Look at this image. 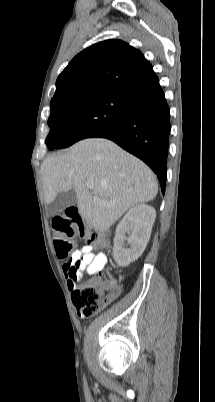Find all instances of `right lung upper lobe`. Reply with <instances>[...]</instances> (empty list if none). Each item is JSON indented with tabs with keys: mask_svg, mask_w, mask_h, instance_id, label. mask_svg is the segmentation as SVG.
I'll use <instances>...</instances> for the list:
<instances>
[{
	"mask_svg": "<svg viewBox=\"0 0 215 402\" xmlns=\"http://www.w3.org/2000/svg\"><path fill=\"white\" fill-rule=\"evenodd\" d=\"M161 91L152 65L139 50L121 40H106L73 58L59 75L52 100L113 94L136 102Z\"/></svg>",
	"mask_w": 215,
	"mask_h": 402,
	"instance_id": "obj_1",
	"label": "right lung upper lobe"
}]
</instances>
